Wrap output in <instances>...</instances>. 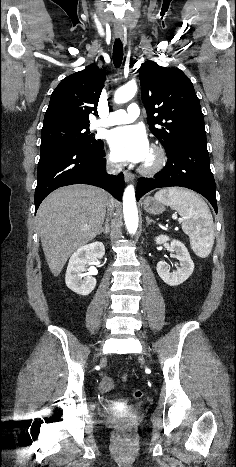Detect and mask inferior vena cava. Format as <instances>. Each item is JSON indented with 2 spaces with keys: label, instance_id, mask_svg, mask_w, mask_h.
Here are the masks:
<instances>
[{
  "label": "inferior vena cava",
  "instance_id": "1",
  "mask_svg": "<svg viewBox=\"0 0 236 467\" xmlns=\"http://www.w3.org/2000/svg\"><path fill=\"white\" fill-rule=\"evenodd\" d=\"M115 168H116V167H115ZM115 168H111V169H110V172L115 173V172H116V169H115ZM109 211H110L109 214L111 215V213H112V208H111V207L109 208Z\"/></svg>",
  "mask_w": 236,
  "mask_h": 467
}]
</instances>
